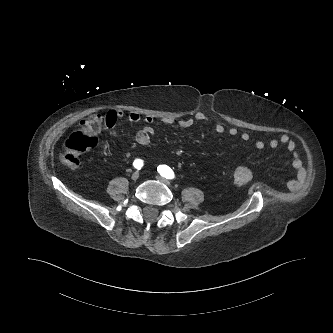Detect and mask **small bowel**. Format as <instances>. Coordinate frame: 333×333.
<instances>
[{
  "label": "small bowel",
  "instance_id": "small-bowel-1",
  "mask_svg": "<svg viewBox=\"0 0 333 333\" xmlns=\"http://www.w3.org/2000/svg\"><path fill=\"white\" fill-rule=\"evenodd\" d=\"M113 112L116 118H120L123 116V112L121 110ZM128 119L133 123H137L141 120L145 122L146 125L136 134V142L142 146L148 145L152 139V136L154 135V128L152 126V124L154 123V117L151 115L141 117L140 114H138L137 112H130L128 115ZM206 121H210L212 123L215 132L218 134H227L232 137L239 136L240 139L244 142L250 140V135L247 132L240 133L235 127H226L218 121L211 120L206 114L202 112H198L192 117H188L178 121L177 126L182 129H188L196 123ZM163 122L168 125L173 124V121L168 118L163 119ZM113 135L116 136L115 131H113ZM267 144L271 148H276L279 145H283L286 147L288 153L291 156V164L293 168L298 172V179L291 182L292 187H296L303 176V163L298 154L296 143L291 139L288 134H282L278 138L269 139ZM254 145L257 149H263L266 146V142L262 139H256L254 141Z\"/></svg>",
  "mask_w": 333,
  "mask_h": 333
}]
</instances>
